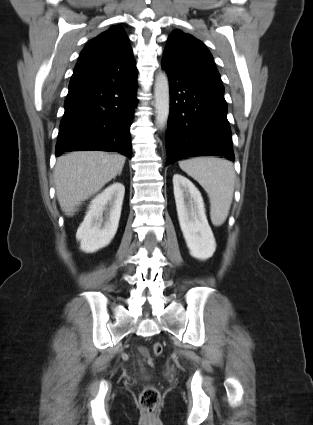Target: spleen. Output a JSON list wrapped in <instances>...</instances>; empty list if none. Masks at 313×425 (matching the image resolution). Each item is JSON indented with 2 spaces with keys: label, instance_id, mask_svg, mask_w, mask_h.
I'll return each instance as SVG.
<instances>
[{
  "label": "spleen",
  "instance_id": "3e777b00",
  "mask_svg": "<svg viewBox=\"0 0 313 425\" xmlns=\"http://www.w3.org/2000/svg\"><path fill=\"white\" fill-rule=\"evenodd\" d=\"M179 166L207 192L211 221L215 226H221L233 199L236 177L233 164L216 157H197L180 161Z\"/></svg>",
  "mask_w": 313,
  "mask_h": 425
}]
</instances>
